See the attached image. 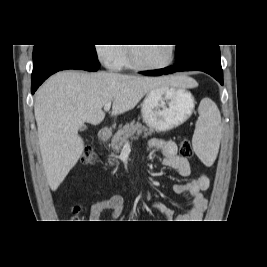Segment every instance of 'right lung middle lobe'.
<instances>
[{
    "mask_svg": "<svg viewBox=\"0 0 267 267\" xmlns=\"http://www.w3.org/2000/svg\"><path fill=\"white\" fill-rule=\"evenodd\" d=\"M63 47L68 48L79 55L87 58L89 61L93 62L97 66L100 65L97 55H96V49L94 45H85V44H66L63 45Z\"/></svg>",
    "mask_w": 267,
    "mask_h": 267,
    "instance_id": "dd1d6c3e",
    "label": "right lung middle lobe"
}]
</instances>
